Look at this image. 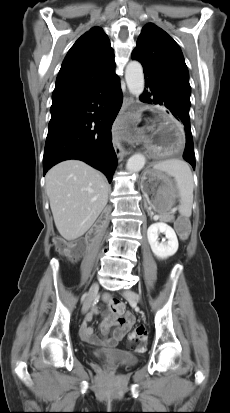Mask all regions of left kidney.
<instances>
[{
  "label": "left kidney",
  "mask_w": 230,
  "mask_h": 413,
  "mask_svg": "<svg viewBox=\"0 0 230 413\" xmlns=\"http://www.w3.org/2000/svg\"><path fill=\"white\" fill-rule=\"evenodd\" d=\"M159 233H164L168 241L166 243L159 242ZM147 238L151 250L159 259H166L174 255L178 250V239L172 227L163 222H157L147 230Z\"/></svg>",
  "instance_id": "1"
}]
</instances>
